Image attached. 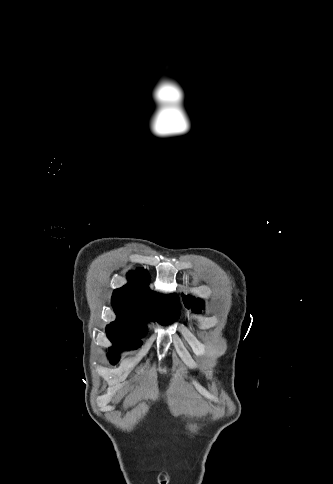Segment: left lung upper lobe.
<instances>
[{
    "label": "left lung upper lobe",
    "instance_id": "left-lung-upper-lobe-1",
    "mask_svg": "<svg viewBox=\"0 0 333 484\" xmlns=\"http://www.w3.org/2000/svg\"><path fill=\"white\" fill-rule=\"evenodd\" d=\"M185 306L192 308L193 311H200L203 308L204 302L201 299H196L192 296L184 297Z\"/></svg>",
    "mask_w": 333,
    "mask_h": 484
}]
</instances>
